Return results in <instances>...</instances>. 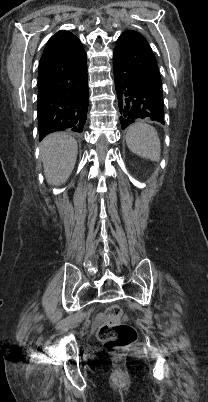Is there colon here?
Instances as JSON below:
<instances>
[{"label": "colon", "mask_w": 208, "mask_h": 402, "mask_svg": "<svg viewBox=\"0 0 208 402\" xmlns=\"http://www.w3.org/2000/svg\"><path fill=\"white\" fill-rule=\"evenodd\" d=\"M108 318L104 324H99L98 338L105 343L108 351L124 347L137 337L138 332L134 324L120 323L122 312L120 308L111 307L106 311Z\"/></svg>", "instance_id": "colon-1"}]
</instances>
